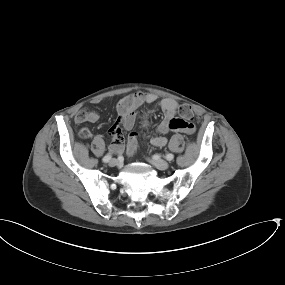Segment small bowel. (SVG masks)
Returning a JSON list of instances; mask_svg holds the SVG:
<instances>
[{
  "label": "small bowel",
  "mask_w": 285,
  "mask_h": 285,
  "mask_svg": "<svg viewBox=\"0 0 285 285\" xmlns=\"http://www.w3.org/2000/svg\"><path fill=\"white\" fill-rule=\"evenodd\" d=\"M158 97L154 93L135 92L124 96L119 100L116 106L117 115L111 126L113 136L112 149L119 153L124 150L122 133L123 130H131L134 127L138 108L143 104H155ZM156 107L163 113V119L157 127L158 136L152 139V144L158 147L165 146L167 138L164 136L169 132H186L189 122L178 118L176 115L179 110V104L172 98L160 100ZM148 113L144 115V125H147ZM100 115L96 110H80L74 116L77 124L85 122L96 123ZM81 138H89L92 134L88 128H82L79 132ZM137 150V135L131 133L127 139L126 153L133 156Z\"/></svg>",
  "instance_id": "c3829d8e"
}]
</instances>
